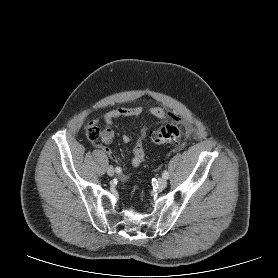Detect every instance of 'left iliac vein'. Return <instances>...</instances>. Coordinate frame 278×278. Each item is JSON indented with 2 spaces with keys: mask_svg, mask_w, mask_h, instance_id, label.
I'll return each mask as SVG.
<instances>
[{
  "mask_svg": "<svg viewBox=\"0 0 278 278\" xmlns=\"http://www.w3.org/2000/svg\"><path fill=\"white\" fill-rule=\"evenodd\" d=\"M167 186V181L165 178H159L158 179V188L159 189H164Z\"/></svg>",
  "mask_w": 278,
  "mask_h": 278,
  "instance_id": "left-iliac-vein-1",
  "label": "left iliac vein"
}]
</instances>
